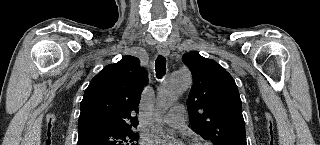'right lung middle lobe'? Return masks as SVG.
Returning a JSON list of instances; mask_svg holds the SVG:
<instances>
[{"instance_id": "obj_1", "label": "right lung middle lobe", "mask_w": 320, "mask_h": 145, "mask_svg": "<svg viewBox=\"0 0 320 145\" xmlns=\"http://www.w3.org/2000/svg\"><path fill=\"white\" fill-rule=\"evenodd\" d=\"M138 139L130 129H107L79 136L78 145H138Z\"/></svg>"}]
</instances>
